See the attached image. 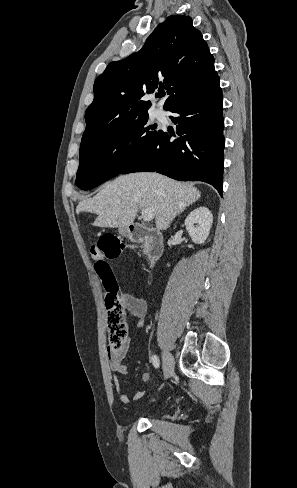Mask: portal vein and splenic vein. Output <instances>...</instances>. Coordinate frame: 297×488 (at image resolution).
Segmentation results:
<instances>
[{
  "label": "portal vein and splenic vein",
  "instance_id": "1",
  "mask_svg": "<svg viewBox=\"0 0 297 488\" xmlns=\"http://www.w3.org/2000/svg\"><path fill=\"white\" fill-rule=\"evenodd\" d=\"M141 211L145 221H151L154 218L155 211L153 208H143Z\"/></svg>",
  "mask_w": 297,
  "mask_h": 488
}]
</instances>
